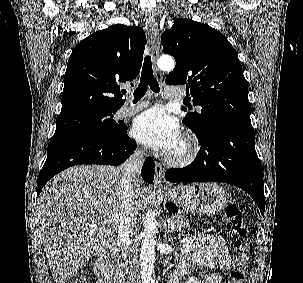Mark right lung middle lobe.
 <instances>
[{"label":"right lung middle lobe","mask_w":303,"mask_h":283,"mask_svg":"<svg viewBox=\"0 0 303 283\" xmlns=\"http://www.w3.org/2000/svg\"><path fill=\"white\" fill-rule=\"evenodd\" d=\"M115 111L89 110L58 116L53 136L81 133L90 136L112 137L127 130V126L113 119Z\"/></svg>","instance_id":"1"}]
</instances>
